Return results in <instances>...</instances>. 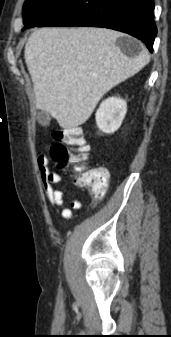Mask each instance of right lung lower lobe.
<instances>
[{
  "label": "right lung lower lobe",
  "instance_id": "right-lung-lower-lobe-1",
  "mask_svg": "<svg viewBox=\"0 0 171 337\" xmlns=\"http://www.w3.org/2000/svg\"><path fill=\"white\" fill-rule=\"evenodd\" d=\"M43 26L105 27L142 40L152 52L157 34L153 0H68Z\"/></svg>",
  "mask_w": 171,
  "mask_h": 337
}]
</instances>
